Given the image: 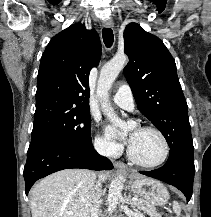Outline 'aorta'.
<instances>
[{
    "label": "aorta",
    "instance_id": "aorta-1",
    "mask_svg": "<svg viewBox=\"0 0 211 217\" xmlns=\"http://www.w3.org/2000/svg\"><path fill=\"white\" fill-rule=\"evenodd\" d=\"M128 61L126 55H118L104 65L100 71V76L97 85V94L103 101L102 110L104 115L109 118V120L120 128H124L125 124L121 119L117 117L114 110L110 107L108 103V92L117 78L120 71L124 68ZM122 177L117 176L111 181L108 193V210L113 212L118 204V200L121 197V191L123 189V184L121 182Z\"/></svg>",
    "mask_w": 211,
    "mask_h": 217
}]
</instances>
